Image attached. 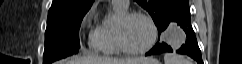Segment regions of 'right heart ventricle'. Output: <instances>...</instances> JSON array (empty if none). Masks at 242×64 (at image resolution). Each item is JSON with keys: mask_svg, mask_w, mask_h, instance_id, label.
<instances>
[{"mask_svg": "<svg viewBox=\"0 0 242 64\" xmlns=\"http://www.w3.org/2000/svg\"><path fill=\"white\" fill-rule=\"evenodd\" d=\"M126 12L127 9L113 5V13L104 18L91 36V45L95 51L105 55H113L121 51L117 42V22Z\"/></svg>", "mask_w": 242, "mask_h": 64, "instance_id": "obj_1", "label": "right heart ventricle"}]
</instances>
